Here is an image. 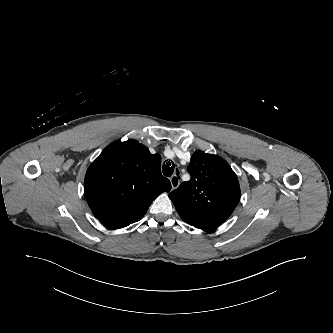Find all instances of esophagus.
I'll return each mask as SVG.
<instances>
[{"label":"esophagus","mask_w":333,"mask_h":333,"mask_svg":"<svg viewBox=\"0 0 333 333\" xmlns=\"http://www.w3.org/2000/svg\"><path fill=\"white\" fill-rule=\"evenodd\" d=\"M170 183H171V187H172L173 190L176 189V188L179 186V184H180V179H179V177H178L177 174L173 175V176L170 178Z\"/></svg>","instance_id":"34e87169"}]
</instances>
